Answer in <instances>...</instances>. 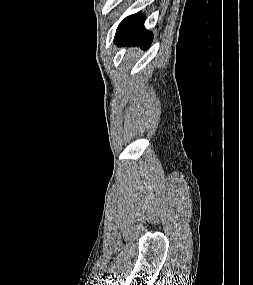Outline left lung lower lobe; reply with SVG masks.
Masks as SVG:
<instances>
[{
  "mask_svg": "<svg viewBox=\"0 0 253 285\" xmlns=\"http://www.w3.org/2000/svg\"><path fill=\"white\" fill-rule=\"evenodd\" d=\"M145 16L141 13L126 17L118 26L114 41L117 45L150 47L153 35L144 27Z\"/></svg>",
  "mask_w": 253,
  "mask_h": 285,
  "instance_id": "0a47b994",
  "label": "left lung lower lobe"
}]
</instances>
